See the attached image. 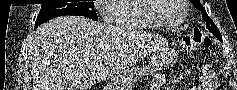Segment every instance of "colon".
<instances>
[{
	"mask_svg": "<svg viewBox=\"0 0 237 90\" xmlns=\"http://www.w3.org/2000/svg\"><path fill=\"white\" fill-rule=\"evenodd\" d=\"M210 38L203 31H194L183 39V47L186 51H192L198 46H208Z\"/></svg>",
	"mask_w": 237,
	"mask_h": 90,
	"instance_id": "1",
	"label": "colon"
}]
</instances>
